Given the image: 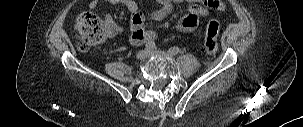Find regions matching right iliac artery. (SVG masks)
<instances>
[{
    "instance_id": "right-iliac-artery-1",
    "label": "right iliac artery",
    "mask_w": 303,
    "mask_h": 127,
    "mask_svg": "<svg viewBox=\"0 0 303 127\" xmlns=\"http://www.w3.org/2000/svg\"><path fill=\"white\" fill-rule=\"evenodd\" d=\"M145 48L147 49V51L153 50L155 48V43L154 42H148L145 45Z\"/></svg>"
}]
</instances>
